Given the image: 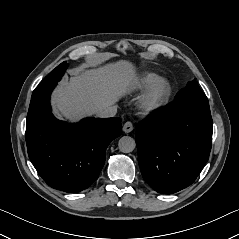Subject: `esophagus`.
Returning <instances> with one entry per match:
<instances>
[{
    "label": "esophagus",
    "mask_w": 239,
    "mask_h": 239,
    "mask_svg": "<svg viewBox=\"0 0 239 239\" xmlns=\"http://www.w3.org/2000/svg\"><path fill=\"white\" fill-rule=\"evenodd\" d=\"M132 130H133V124L131 122L128 121L123 125V131L125 133H130Z\"/></svg>",
    "instance_id": "obj_1"
}]
</instances>
